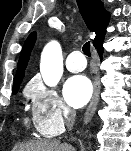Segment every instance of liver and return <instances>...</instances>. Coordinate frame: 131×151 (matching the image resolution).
I'll use <instances>...</instances> for the list:
<instances>
[{"label":"liver","instance_id":"liver-1","mask_svg":"<svg viewBox=\"0 0 131 151\" xmlns=\"http://www.w3.org/2000/svg\"><path fill=\"white\" fill-rule=\"evenodd\" d=\"M13 151H75L67 143H60L58 140H36L17 145Z\"/></svg>","mask_w":131,"mask_h":151}]
</instances>
